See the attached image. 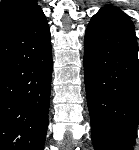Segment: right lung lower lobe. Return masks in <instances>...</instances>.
<instances>
[{
	"label": "right lung lower lobe",
	"mask_w": 139,
	"mask_h": 150,
	"mask_svg": "<svg viewBox=\"0 0 139 150\" xmlns=\"http://www.w3.org/2000/svg\"><path fill=\"white\" fill-rule=\"evenodd\" d=\"M52 76L42 10L0 33V150H43Z\"/></svg>",
	"instance_id": "obj_1"
}]
</instances>
